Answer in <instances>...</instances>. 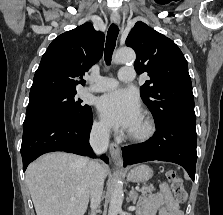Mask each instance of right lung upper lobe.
I'll return each instance as SVG.
<instances>
[{"instance_id":"obj_1","label":"right lung upper lobe","mask_w":223,"mask_h":215,"mask_svg":"<svg viewBox=\"0 0 223 215\" xmlns=\"http://www.w3.org/2000/svg\"><path fill=\"white\" fill-rule=\"evenodd\" d=\"M104 34L85 23L55 38L43 54L30 92L74 90L103 53Z\"/></svg>"}]
</instances>
